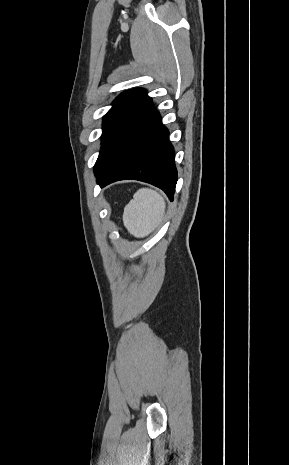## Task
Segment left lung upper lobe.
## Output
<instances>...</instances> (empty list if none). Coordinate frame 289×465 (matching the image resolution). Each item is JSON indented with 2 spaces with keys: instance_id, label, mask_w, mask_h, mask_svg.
Instances as JSON below:
<instances>
[{
  "instance_id": "obj_1",
  "label": "left lung upper lobe",
  "mask_w": 289,
  "mask_h": 465,
  "mask_svg": "<svg viewBox=\"0 0 289 465\" xmlns=\"http://www.w3.org/2000/svg\"><path fill=\"white\" fill-rule=\"evenodd\" d=\"M151 101L142 88L125 91L115 99L113 107L104 116L102 148L94 169L120 143Z\"/></svg>"
}]
</instances>
